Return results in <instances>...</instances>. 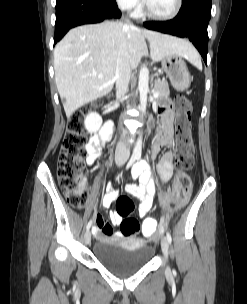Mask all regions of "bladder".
Listing matches in <instances>:
<instances>
[{
	"label": "bladder",
	"mask_w": 247,
	"mask_h": 304,
	"mask_svg": "<svg viewBox=\"0 0 247 304\" xmlns=\"http://www.w3.org/2000/svg\"><path fill=\"white\" fill-rule=\"evenodd\" d=\"M154 254V247L133 239H106L94 247L95 259L107 270L120 275L144 268Z\"/></svg>",
	"instance_id": "obj_1"
}]
</instances>
